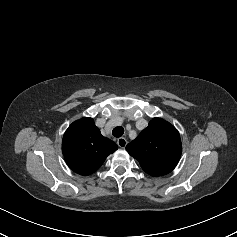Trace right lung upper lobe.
Returning <instances> with one entry per match:
<instances>
[{
	"label": "right lung upper lobe",
	"instance_id": "right-lung-upper-lobe-1",
	"mask_svg": "<svg viewBox=\"0 0 237 237\" xmlns=\"http://www.w3.org/2000/svg\"><path fill=\"white\" fill-rule=\"evenodd\" d=\"M117 149L112 140L102 136L92 118L73 122L63 136L62 152L66 163L71 170L84 176L98 170Z\"/></svg>",
	"mask_w": 237,
	"mask_h": 237
}]
</instances>
